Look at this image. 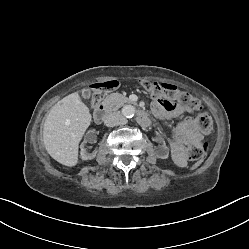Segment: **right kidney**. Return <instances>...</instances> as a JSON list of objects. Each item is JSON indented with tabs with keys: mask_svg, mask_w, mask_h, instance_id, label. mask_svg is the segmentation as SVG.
I'll list each match as a JSON object with an SVG mask.
<instances>
[{
	"mask_svg": "<svg viewBox=\"0 0 249 249\" xmlns=\"http://www.w3.org/2000/svg\"><path fill=\"white\" fill-rule=\"evenodd\" d=\"M98 132L96 130H91L87 133L85 136V139L81 145V158L83 160H91L95 157V154H90L87 151L91 149V147L94 145V142L97 140Z\"/></svg>",
	"mask_w": 249,
	"mask_h": 249,
	"instance_id": "obj_1",
	"label": "right kidney"
}]
</instances>
